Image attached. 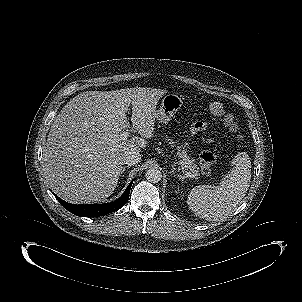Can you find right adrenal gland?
Instances as JSON below:
<instances>
[{"mask_svg": "<svg viewBox=\"0 0 302 302\" xmlns=\"http://www.w3.org/2000/svg\"><path fill=\"white\" fill-rule=\"evenodd\" d=\"M127 167L125 166L124 168H123V170L121 171V176L123 177V173L125 172V169H126Z\"/></svg>", "mask_w": 302, "mask_h": 302, "instance_id": "right-adrenal-gland-1", "label": "right adrenal gland"}]
</instances>
